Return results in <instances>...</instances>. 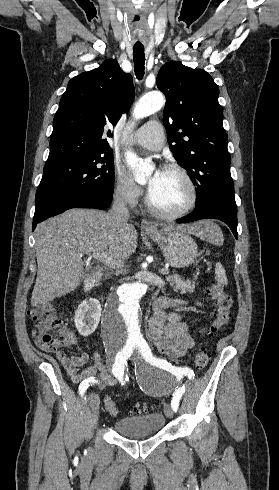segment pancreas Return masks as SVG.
Here are the masks:
<instances>
[{
    "label": "pancreas",
    "mask_w": 279,
    "mask_h": 490,
    "mask_svg": "<svg viewBox=\"0 0 279 490\" xmlns=\"http://www.w3.org/2000/svg\"><path fill=\"white\" fill-rule=\"evenodd\" d=\"M117 268H121V266H117ZM167 282H170V286L174 288V290H182V292H194L195 282H191V280H182L178 274H172V276H165Z\"/></svg>",
    "instance_id": "pancreas-1"
}]
</instances>
